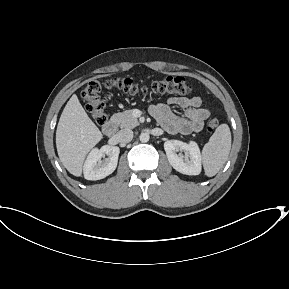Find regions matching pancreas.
Here are the masks:
<instances>
[{
    "instance_id": "pancreas-1",
    "label": "pancreas",
    "mask_w": 289,
    "mask_h": 289,
    "mask_svg": "<svg viewBox=\"0 0 289 289\" xmlns=\"http://www.w3.org/2000/svg\"><path fill=\"white\" fill-rule=\"evenodd\" d=\"M111 119L120 128H134L139 125L138 119L133 116L131 109L115 113Z\"/></svg>"
}]
</instances>
